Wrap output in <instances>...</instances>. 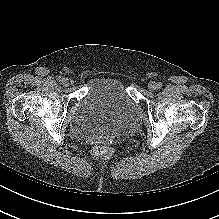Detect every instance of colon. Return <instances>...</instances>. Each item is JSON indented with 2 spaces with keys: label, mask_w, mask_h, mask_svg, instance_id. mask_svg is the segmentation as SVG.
<instances>
[{
  "label": "colon",
  "mask_w": 219,
  "mask_h": 219,
  "mask_svg": "<svg viewBox=\"0 0 219 219\" xmlns=\"http://www.w3.org/2000/svg\"><path fill=\"white\" fill-rule=\"evenodd\" d=\"M113 150L109 146H95L92 149V154L98 157H108L112 154Z\"/></svg>",
  "instance_id": "obj_1"
}]
</instances>
